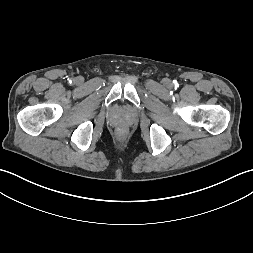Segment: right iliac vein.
I'll return each instance as SVG.
<instances>
[{
	"label": "right iliac vein",
	"instance_id": "right-iliac-vein-1",
	"mask_svg": "<svg viewBox=\"0 0 253 253\" xmlns=\"http://www.w3.org/2000/svg\"><path fill=\"white\" fill-rule=\"evenodd\" d=\"M76 82L77 83H82L83 82V78L82 77H77L76 78Z\"/></svg>",
	"mask_w": 253,
	"mask_h": 253
}]
</instances>
